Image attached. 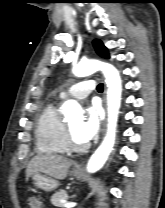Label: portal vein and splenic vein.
Here are the masks:
<instances>
[{
  "instance_id": "obj_1",
  "label": "portal vein and splenic vein",
  "mask_w": 165,
  "mask_h": 208,
  "mask_svg": "<svg viewBox=\"0 0 165 208\" xmlns=\"http://www.w3.org/2000/svg\"><path fill=\"white\" fill-rule=\"evenodd\" d=\"M63 202V206L65 208H72V207H75L76 206V203L75 202H66V201H62Z\"/></svg>"
}]
</instances>
